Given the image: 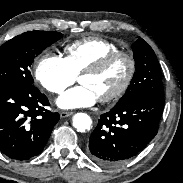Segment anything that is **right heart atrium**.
Instances as JSON below:
<instances>
[{"mask_svg": "<svg viewBox=\"0 0 183 183\" xmlns=\"http://www.w3.org/2000/svg\"><path fill=\"white\" fill-rule=\"evenodd\" d=\"M35 78L43 89L53 94L63 93L76 81V75L71 71L64 57L50 52L38 58Z\"/></svg>", "mask_w": 183, "mask_h": 183, "instance_id": "1", "label": "right heart atrium"}]
</instances>
